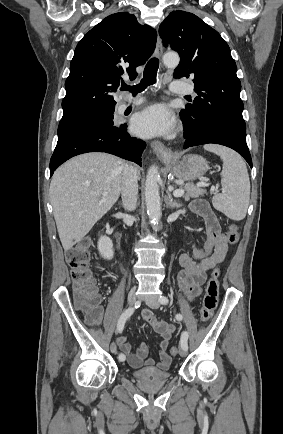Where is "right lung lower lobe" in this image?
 <instances>
[{"instance_id":"1","label":"right lung lower lobe","mask_w":283,"mask_h":434,"mask_svg":"<svg viewBox=\"0 0 283 434\" xmlns=\"http://www.w3.org/2000/svg\"><path fill=\"white\" fill-rule=\"evenodd\" d=\"M145 147L144 141L130 137L126 124L84 127L58 138L50 160V175L66 160L87 152L110 153L141 166Z\"/></svg>"}]
</instances>
